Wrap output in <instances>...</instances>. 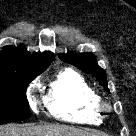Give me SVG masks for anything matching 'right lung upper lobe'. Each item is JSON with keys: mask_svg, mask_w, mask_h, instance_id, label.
<instances>
[{"mask_svg": "<svg viewBox=\"0 0 136 136\" xmlns=\"http://www.w3.org/2000/svg\"><path fill=\"white\" fill-rule=\"evenodd\" d=\"M53 57L50 52L30 54L23 46H6L0 53V77L37 76L50 65Z\"/></svg>", "mask_w": 136, "mask_h": 136, "instance_id": "cb5924a9", "label": "right lung upper lobe"}]
</instances>
